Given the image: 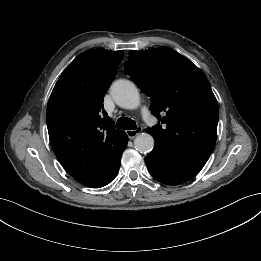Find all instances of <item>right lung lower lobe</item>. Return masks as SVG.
<instances>
[{"label": "right lung lower lobe", "instance_id": "1", "mask_svg": "<svg viewBox=\"0 0 261 261\" xmlns=\"http://www.w3.org/2000/svg\"><path fill=\"white\" fill-rule=\"evenodd\" d=\"M127 146V145H126ZM125 146V148H126ZM125 148L123 149V151L125 150ZM119 155L116 163L114 164V166L110 169V171L104 176L102 177L100 180L88 185V187L91 188H100L103 187L107 184H109L117 175L118 171H119V167H120V162H121V157H122V153Z\"/></svg>", "mask_w": 261, "mask_h": 261}]
</instances>
